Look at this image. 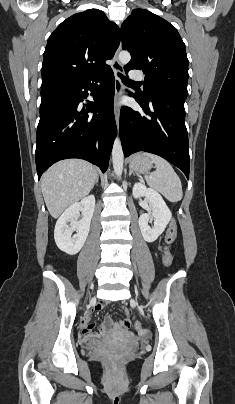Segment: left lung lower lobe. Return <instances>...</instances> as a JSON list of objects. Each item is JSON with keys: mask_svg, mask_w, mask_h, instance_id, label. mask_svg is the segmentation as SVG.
<instances>
[{"mask_svg": "<svg viewBox=\"0 0 235 404\" xmlns=\"http://www.w3.org/2000/svg\"><path fill=\"white\" fill-rule=\"evenodd\" d=\"M134 96L145 115L129 107L120 113L119 132L124 156L145 151L168 160L189 179V144L185 126V100L171 95Z\"/></svg>", "mask_w": 235, "mask_h": 404, "instance_id": "left-lung-lower-lobe-1", "label": "left lung lower lobe"}]
</instances>
